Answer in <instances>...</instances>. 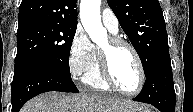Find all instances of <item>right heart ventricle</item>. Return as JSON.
Wrapping results in <instances>:
<instances>
[{"label": "right heart ventricle", "mask_w": 193, "mask_h": 112, "mask_svg": "<svg viewBox=\"0 0 193 112\" xmlns=\"http://www.w3.org/2000/svg\"><path fill=\"white\" fill-rule=\"evenodd\" d=\"M83 81L85 84H87L89 87L95 90H99V91L110 90V87L107 85V83L104 81L101 75L100 66H99L98 49L96 47H94L93 62L89 70L83 76Z\"/></svg>", "instance_id": "obj_1"}]
</instances>
